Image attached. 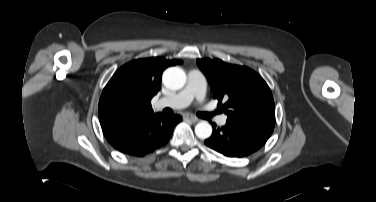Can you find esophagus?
<instances>
[{"mask_svg":"<svg viewBox=\"0 0 376 202\" xmlns=\"http://www.w3.org/2000/svg\"><path fill=\"white\" fill-rule=\"evenodd\" d=\"M186 118H188L190 121L194 123L199 121V119L193 115H187Z\"/></svg>","mask_w":376,"mask_h":202,"instance_id":"esophagus-1","label":"esophagus"}]
</instances>
